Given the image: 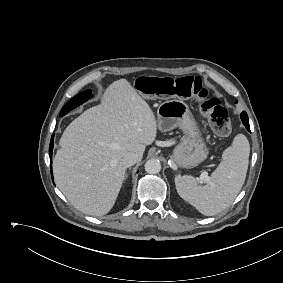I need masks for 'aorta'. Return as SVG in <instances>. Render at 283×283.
Returning a JSON list of instances; mask_svg holds the SVG:
<instances>
[{
  "instance_id": "762f6f07",
  "label": "aorta",
  "mask_w": 283,
  "mask_h": 283,
  "mask_svg": "<svg viewBox=\"0 0 283 283\" xmlns=\"http://www.w3.org/2000/svg\"><path fill=\"white\" fill-rule=\"evenodd\" d=\"M161 170V163L156 159H150L145 163V171L149 174H157Z\"/></svg>"
}]
</instances>
